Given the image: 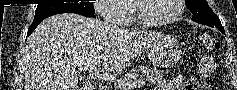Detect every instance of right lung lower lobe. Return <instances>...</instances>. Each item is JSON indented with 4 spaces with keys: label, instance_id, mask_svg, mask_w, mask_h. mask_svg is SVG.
Listing matches in <instances>:
<instances>
[{
    "label": "right lung lower lobe",
    "instance_id": "obj_1",
    "mask_svg": "<svg viewBox=\"0 0 237 90\" xmlns=\"http://www.w3.org/2000/svg\"><path fill=\"white\" fill-rule=\"evenodd\" d=\"M71 13H76V14H80L86 17H95L94 14H90V13H85V12H71ZM45 19V18H44ZM44 19H40V20H34V22L30 25L28 32H27V37L35 30V28L38 26V24L43 21Z\"/></svg>",
    "mask_w": 237,
    "mask_h": 90
}]
</instances>
